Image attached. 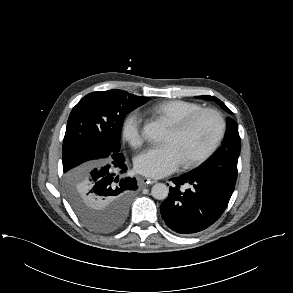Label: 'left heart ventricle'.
I'll return each mask as SVG.
<instances>
[{
	"instance_id": "b2bd125f",
	"label": "left heart ventricle",
	"mask_w": 293,
	"mask_h": 293,
	"mask_svg": "<svg viewBox=\"0 0 293 293\" xmlns=\"http://www.w3.org/2000/svg\"><path fill=\"white\" fill-rule=\"evenodd\" d=\"M218 128L219 123L214 115L203 114L180 134L170 129L164 143L174 145L180 152L183 161L191 160L201 155L209 147Z\"/></svg>"
}]
</instances>
